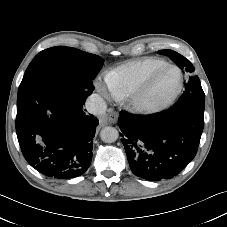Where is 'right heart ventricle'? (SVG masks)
I'll use <instances>...</instances> for the list:
<instances>
[{"instance_id": "right-heart-ventricle-1", "label": "right heart ventricle", "mask_w": 227, "mask_h": 227, "mask_svg": "<svg viewBox=\"0 0 227 227\" xmlns=\"http://www.w3.org/2000/svg\"><path fill=\"white\" fill-rule=\"evenodd\" d=\"M166 65L167 61L153 57L130 61L107 73L105 82L115 98H123L135 91L152 73Z\"/></svg>"}]
</instances>
